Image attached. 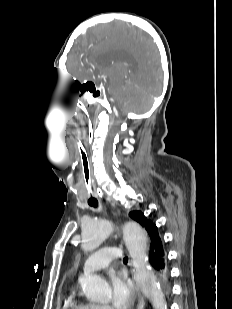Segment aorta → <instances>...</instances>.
Segmentation results:
<instances>
[{
    "label": "aorta",
    "instance_id": "762f6f07",
    "mask_svg": "<svg viewBox=\"0 0 232 309\" xmlns=\"http://www.w3.org/2000/svg\"><path fill=\"white\" fill-rule=\"evenodd\" d=\"M113 222L105 219H90L82 226V249H97L110 235ZM123 237L134 267V279L154 309H167L165 296L150 270L147 261V237L139 225L127 222L123 225ZM79 284L85 296L93 301H107L111 297L108 283L99 276H80Z\"/></svg>",
    "mask_w": 232,
    "mask_h": 309
}]
</instances>
